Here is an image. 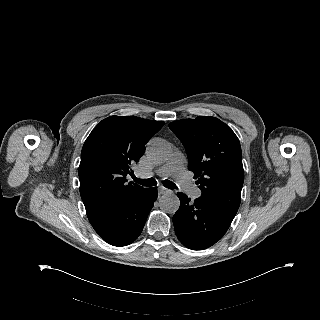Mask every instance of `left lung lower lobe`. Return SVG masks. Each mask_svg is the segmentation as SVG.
I'll use <instances>...</instances> for the list:
<instances>
[{"label":"left lung lower lobe","instance_id":"obj_1","mask_svg":"<svg viewBox=\"0 0 320 320\" xmlns=\"http://www.w3.org/2000/svg\"><path fill=\"white\" fill-rule=\"evenodd\" d=\"M180 207L173 216L174 230L180 242L189 249L203 250L220 240L236 213L224 206L199 197L194 202L177 194Z\"/></svg>","mask_w":320,"mask_h":320}]
</instances>
